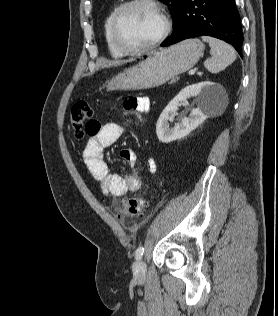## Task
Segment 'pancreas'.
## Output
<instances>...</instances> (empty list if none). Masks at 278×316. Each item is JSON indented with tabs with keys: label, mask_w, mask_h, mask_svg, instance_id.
<instances>
[{
	"label": "pancreas",
	"mask_w": 278,
	"mask_h": 316,
	"mask_svg": "<svg viewBox=\"0 0 278 316\" xmlns=\"http://www.w3.org/2000/svg\"><path fill=\"white\" fill-rule=\"evenodd\" d=\"M178 80H179V77L173 78V79L171 80V83H174V82H176V81H178Z\"/></svg>",
	"instance_id": "pancreas-1"
}]
</instances>
